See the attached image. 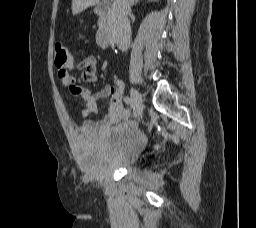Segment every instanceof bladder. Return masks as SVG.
Returning a JSON list of instances; mask_svg holds the SVG:
<instances>
[{"instance_id":"obj_1","label":"bladder","mask_w":256,"mask_h":228,"mask_svg":"<svg viewBox=\"0 0 256 228\" xmlns=\"http://www.w3.org/2000/svg\"><path fill=\"white\" fill-rule=\"evenodd\" d=\"M146 136L134 126L110 129L103 135L81 133L76 150L81 161L95 179H102L116 169H128L137 160Z\"/></svg>"}]
</instances>
